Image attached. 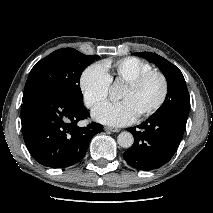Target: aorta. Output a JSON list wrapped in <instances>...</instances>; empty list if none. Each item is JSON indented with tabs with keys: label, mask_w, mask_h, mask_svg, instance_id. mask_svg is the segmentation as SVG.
<instances>
[{
	"label": "aorta",
	"mask_w": 213,
	"mask_h": 213,
	"mask_svg": "<svg viewBox=\"0 0 213 213\" xmlns=\"http://www.w3.org/2000/svg\"><path fill=\"white\" fill-rule=\"evenodd\" d=\"M117 86L112 89L111 96H115ZM118 144L123 148H129L134 143L133 135L130 132L124 131L121 132L117 137Z\"/></svg>",
	"instance_id": "1"
}]
</instances>
